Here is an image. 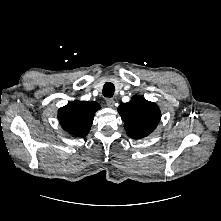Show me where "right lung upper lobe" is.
<instances>
[{"mask_svg":"<svg viewBox=\"0 0 221 221\" xmlns=\"http://www.w3.org/2000/svg\"><path fill=\"white\" fill-rule=\"evenodd\" d=\"M99 109L100 105L96 102L75 100L59 109L58 119L65 131L84 137L88 134L94 115Z\"/></svg>","mask_w":221,"mask_h":221,"instance_id":"1","label":"right lung upper lobe"}]
</instances>
